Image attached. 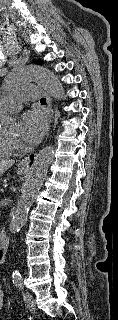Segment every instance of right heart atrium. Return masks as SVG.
I'll use <instances>...</instances> for the list:
<instances>
[{
  "instance_id": "d8ad5b80",
  "label": "right heart atrium",
  "mask_w": 118,
  "mask_h": 320,
  "mask_svg": "<svg viewBox=\"0 0 118 320\" xmlns=\"http://www.w3.org/2000/svg\"><path fill=\"white\" fill-rule=\"evenodd\" d=\"M12 143H13L14 145H16V142H15V141H13Z\"/></svg>"
}]
</instances>
